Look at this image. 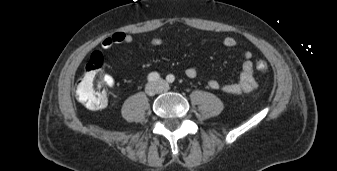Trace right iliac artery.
<instances>
[{
    "instance_id": "82829eb1",
    "label": "right iliac artery",
    "mask_w": 337,
    "mask_h": 171,
    "mask_svg": "<svg viewBox=\"0 0 337 171\" xmlns=\"http://www.w3.org/2000/svg\"><path fill=\"white\" fill-rule=\"evenodd\" d=\"M159 78H160V75L157 72H152L148 75L149 82L157 81Z\"/></svg>"
}]
</instances>
